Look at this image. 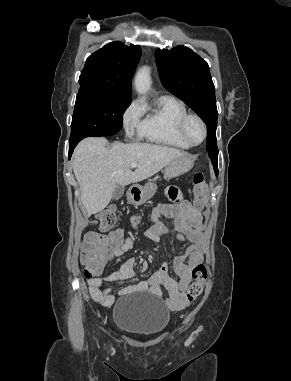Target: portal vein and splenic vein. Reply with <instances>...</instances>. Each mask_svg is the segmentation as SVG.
<instances>
[{
  "mask_svg": "<svg viewBox=\"0 0 291 381\" xmlns=\"http://www.w3.org/2000/svg\"><path fill=\"white\" fill-rule=\"evenodd\" d=\"M130 166H131V168H136L138 166V164L137 163H132Z\"/></svg>",
  "mask_w": 291,
  "mask_h": 381,
  "instance_id": "1",
  "label": "portal vein and splenic vein"
}]
</instances>
